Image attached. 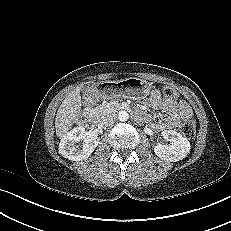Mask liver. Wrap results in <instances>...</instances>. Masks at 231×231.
Instances as JSON below:
<instances>
[{
	"label": "liver",
	"instance_id": "6515ba94",
	"mask_svg": "<svg viewBox=\"0 0 231 231\" xmlns=\"http://www.w3.org/2000/svg\"><path fill=\"white\" fill-rule=\"evenodd\" d=\"M80 89L71 91L63 100L55 118L56 135L62 139L73 126L81 111Z\"/></svg>",
	"mask_w": 231,
	"mask_h": 231
}]
</instances>
